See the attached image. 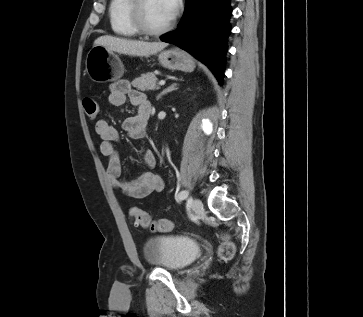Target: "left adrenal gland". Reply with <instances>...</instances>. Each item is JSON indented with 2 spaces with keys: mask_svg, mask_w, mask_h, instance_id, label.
<instances>
[{
  "mask_svg": "<svg viewBox=\"0 0 363 317\" xmlns=\"http://www.w3.org/2000/svg\"><path fill=\"white\" fill-rule=\"evenodd\" d=\"M178 84L177 83H173L172 85H170L168 88H166V89H164L162 92H160L158 95H157V97H156V99L157 100H159V99H161V97L163 96V95H165V94H167V93H169V92H171V91H174V90H176V89H178Z\"/></svg>",
  "mask_w": 363,
  "mask_h": 317,
  "instance_id": "a2214340",
  "label": "left adrenal gland"
}]
</instances>
